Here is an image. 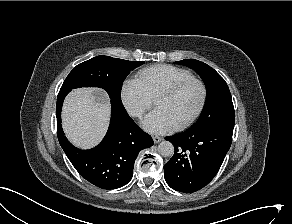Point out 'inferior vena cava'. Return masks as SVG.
I'll return each instance as SVG.
<instances>
[{
    "label": "inferior vena cava",
    "mask_w": 292,
    "mask_h": 224,
    "mask_svg": "<svg viewBox=\"0 0 292 224\" xmlns=\"http://www.w3.org/2000/svg\"><path fill=\"white\" fill-rule=\"evenodd\" d=\"M132 115L133 116H137V117H140L142 115V111L139 110V109H136L132 112Z\"/></svg>",
    "instance_id": "602c4592"
}]
</instances>
